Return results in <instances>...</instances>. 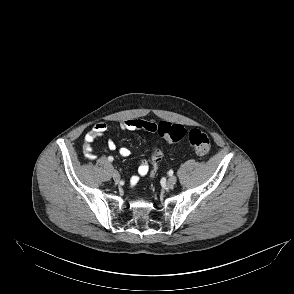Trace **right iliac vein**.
<instances>
[{"instance_id":"obj_1","label":"right iliac vein","mask_w":294,"mask_h":294,"mask_svg":"<svg viewBox=\"0 0 294 294\" xmlns=\"http://www.w3.org/2000/svg\"><path fill=\"white\" fill-rule=\"evenodd\" d=\"M112 177H113L115 182H119L120 179H121L120 174L117 171H113Z\"/></svg>"}]
</instances>
